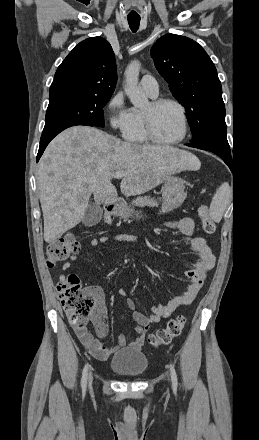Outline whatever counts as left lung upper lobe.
<instances>
[{"mask_svg":"<svg viewBox=\"0 0 259 440\" xmlns=\"http://www.w3.org/2000/svg\"><path fill=\"white\" fill-rule=\"evenodd\" d=\"M160 75L185 107L195 142L210 134H226L222 87L205 50L187 37L166 34L151 48Z\"/></svg>","mask_w":259,"mask_h":440,"instance_id":"left-lung-upper-lobe-1","label":"left lung upper lobe"}]
</instances>
